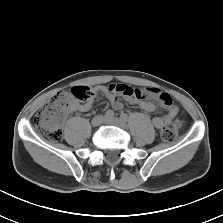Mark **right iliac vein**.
<instances>
[{"mask_svg": "<svg viewBox=\"0 0 223 223\" xmlns=\"http://www.w3.org/2000/svg\"><path fill=\"white\" fill-rule=\"evenodd\" d=\"M104 120L105 117L103 115H97L92 119L91 124L93 127H98L104 122Z\"/></svg>", "mask_w": 223, "mask_h": 223, "instance_id": "63e3f726", "label": "right iliac vein"}]
</instances>
